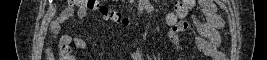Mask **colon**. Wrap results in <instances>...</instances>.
I'll return each mask as SVG.
<instances>
[{
	"mask_svg": "<svg viewBox=\"0 0 267 60\" xmlns=\"http://www.w3.org/2000/svg\"><path fill=\"white\" fill-rule=\"evenodd\" d=\"M86 14L89 12H98L103 17H107L110 19L120 20L122 18L118 13L114 12L110 7L103 5L98 0H76L74 1ZM189 6L188 0H178L176 1V6L174 10L167 16V23L173 24L176 19L184 13L185 9ZM64 56L65 54L62 53ZM48 57L53 59L56 57V54L52 51V49H48Z\"/></svg>",
	"mask_w": 267,
	"mask_h": 60,
	"instance_id": "obj_1",
	"label": "colon"
}]
</instances>
